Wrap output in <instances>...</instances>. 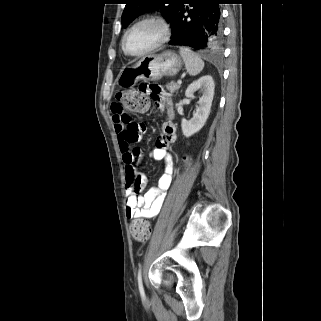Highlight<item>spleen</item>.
I'll return each mask as SVG.
<instances>
[{
	"instance_id": "1",
	"label": "spleen",
	"mask_w": 321,
	"mask_h": 321,
	"mask_svg": "<svg viewBox=\"0 0 321 321\" xmlns=\"http://www.w3.org/2000/svg\"><path fill=\"white\" fill-rule=\"evenodd\" d=\"M180 55L185 63V68L189 75L195 76L199 74L204 68V61L198 54L194 53L188 47H180Z\"/></svg>"
}]
</instances>
